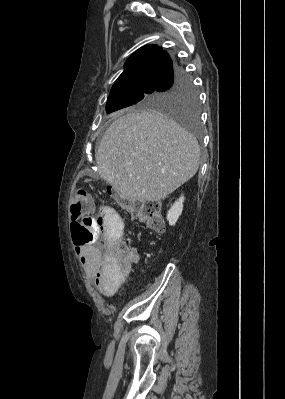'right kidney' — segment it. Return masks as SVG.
Wrapping results in <instances>:
<instances>
[{
    "instance_id": "right-kidney-1",
    "label": "right kidney",
    "mask_w": 285,
    "mask_h": 399,
    "mask_svg": "<svg viewBox=\"0 0 285 399\" xmlns=\"http://www.w3.org/2000/svg\"><path fill=\"white\" fill-rule=\"evenodd\" d=\"M183 202L184 196H181L177 201L174 202L173 205H171L167 213V220L169 221V225L173 226L176 224L183 210Z\"/></svg>"
}]
</instances>
